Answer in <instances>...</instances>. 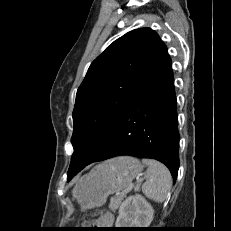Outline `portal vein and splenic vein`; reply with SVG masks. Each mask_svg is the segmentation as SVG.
Segmentation results:
<instances>
[{"label":"portal vein and splenic vein","mask_w":231,"mask_h":231,"mask_svg":"<svg viewBox=\"0 0 231 231\" xmlns=\"http://www.w3.org/2000/svg\"><path fill=\"white\" fill-rule=\"evenodd\" d=\"M133 189H135L134 184H131L126 190L125 192L121 193V195L123 196L124 194H127L129 192H131Z\"/></svg>","instance_id":"1"}]
</instances>
